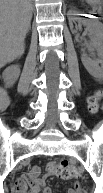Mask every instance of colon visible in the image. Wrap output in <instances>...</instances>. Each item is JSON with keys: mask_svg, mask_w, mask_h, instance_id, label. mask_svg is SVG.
<instances>
[{"mask_svg": "<svg viewBox=\"0 0 103 193\" xmlns=\"http://www.w3.org/2000/svg\"><path fill=\"white\" fill-rule=\"evenodd\" d=\"M99 98V91L95 92L92 96L89 97V108L92 113H96L99 109ZM47 169L50 173L64 180L74 179L79 175L78 168L68 163L67 161H60L57 163L50 162L47 165Z\"/></svg>", "mask_w": 103, "mask_h": 193, "instance_id": "5ec220e1", "label": "colon"}]
</instances>
